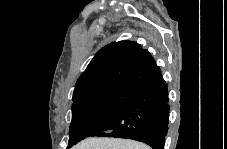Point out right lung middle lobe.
I'll return each mask as SVG.
<instances>
[{"label": "right lung middle lobe", "mask_w": 227, "mask_h": 149, "mask_svg": "<svg viewBox=\"0 0 227 149\" xmlns=\"http://www.w3.org/2000/svg\"><path fill=\"white\" fill-rule=\"evenodd\" d=\"M135 88L121 84L103 86L82 96L72 105L68 147L89 137L131 96Z\"/></svg>", "instance_id": "obj_1"}]
</instances>
